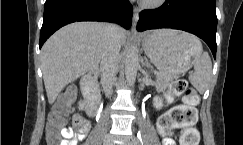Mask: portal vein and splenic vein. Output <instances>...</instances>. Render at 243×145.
<instances>
[{
    "mask_svg": "<svg viewBox=\"0 0 243 145\" xmlns=\"http://www.w3.org/2000/svg\"><path fill=\"white\" fill-rule=\"evenodd\" d=\"M160 75H161V73H157V74H156V76H160Z\"/></svg>",
    "mask_w": 243,
    "mask_h": 145,
    "instance_id": "portal-vein-and-splenic-vein-1",
    "label": "portal vein and splenic vein"
}]
</instances>
